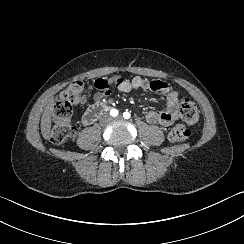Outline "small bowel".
Wrapping results in <instances>:
<instances>
[{
	"mask_svg": "<svg viewBox=\"0 0 244 244\" xmlns=\"http://www.w3.org/2000/svg\"><path fill=\"white\" fill-rule=\"evenodd\" d=\"M116 85V88L114 87ZM95 93L93 101L102 102L115 90L119 92H130L136 89L150 90L160 93L164 97V108L161 112L149 110L146 115V121L151 125H160L164 128L170 127L177 118L178 93L170 84L160 80L148 81L140 77L127 79L122 75H115L108 79H98L95 84ZM85 124L92 123L87 110L82 118Z\"/></svg>",
	"mask_w": 244,
	"mask_h": 244,
	"instance_id": "1",
	"label": "small bowel"
}]
</instances>
